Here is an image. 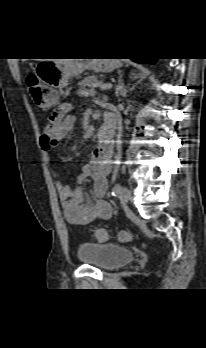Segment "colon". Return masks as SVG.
<instances>
[{
	"instance_id": "colon-1",
	"label": "colon",
	"mask_w": 206,
	"mask_h": 348,
	"mask_svg": "<svg viewBox=\"0 0 206 348\" xmlns=\"http://www.w3.org/2000/svg\"><path fill=\"white\" fill-rule=\"evenodd\" d=\"M26 85L30 96L36 100L43 91L40 80L35 74H30L26 78ZM51 119L53 121L56 120V111L51 115ZM95 238L98 242H105L108 240L109 235L106 230L100 228L95 231ZM119 239L122 242H130L132 240V235L128 232H121L119 234Z\"/></svg>"
}]
</instances>
